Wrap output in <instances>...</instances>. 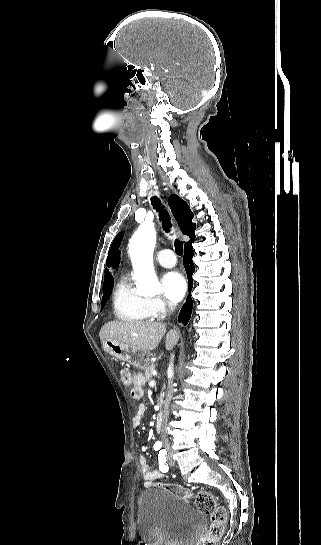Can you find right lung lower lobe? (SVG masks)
Returning <instances> with one entry per match:
<instances>
[{
	"label": "right lung lower lobe",
	"mask_w": 321,
	"mask_h": 545,
	"mask_svg": "<svg viewBox=\"0 0 321 545\" xmlns=\"http://www.w3.org/2000/svg\"><path fill=\"white\" fill-rule=\"evenodd\" d=\"M194 239H195V234L190 236V241L185 243V246H184L185 256L183 258V264H184L188 281H189V291H191L193 287L192 274L194 273V270H195L194 264L192 262V258L194 254L193 248H192V242L194 241ZM191 311H192V299H191V296L189 295L186 300V303L183 305L180 311L178 321L183 322L184 324H187L191 316Z\"/></svg>",
	"instance_id": "98d812e1"
}]
</instances>
